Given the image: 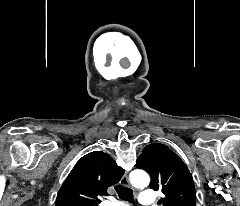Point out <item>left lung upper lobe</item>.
<instances>
[{"instance_id":"1","label":"left lung upper lobe","mask_w":240,"mask_h":206,"mask_svg":"<svg viewBox=\"0 0 240 206\" xmlns=\"http://www.w3.org/2000/svg\"><path fill=\"white\" fill-rule=\"evenodd\" d=\"M135 167L151 176L150 186L165 195L159 203L164 206H196L193 178L183 161L166 145H147Z\"/></svg>"}]
</instances>
